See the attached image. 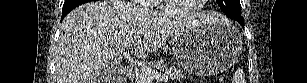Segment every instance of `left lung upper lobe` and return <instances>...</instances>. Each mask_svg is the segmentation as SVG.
I'll use <instances>...</instances> for the list:
<instances>
[{
	"label": "left lung upper lobe",
	"mask_w": 307,
	"mask_h": 83,
	"mask_svg": "<svg viewBox=\"0 0 307 83\" xmlns=\"http://www.w3.org/2000/svg\"><path fill=\"white\" fill-rule=\"evenodd\" d=\"M219 7L227 17L234 20H244L241 17V4L239 0H216Z\"/></svg>",
	"instance_id": "obj_1"
}]
</instances>
